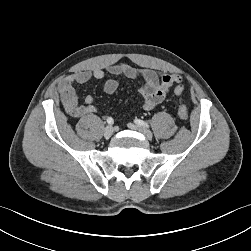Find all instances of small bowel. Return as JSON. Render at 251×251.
Wrapping results in <instances>:
<instances>
[{
    "label": "small bowel",
    "instance_id": "c3829d8e",
    "mask_svg": "<svg viewBox=\"0 0 251 251\" xmlns=\"http://www.w3.org/2000/svg\"><path fill=\"white\" fill-rule=\"evenodd\" d=\"M106 72L112 76L141 79L143 84L139 88V92L143 97V108L147 111L160 104L172 88L176 95H180L184 89L180 77L175 74L160 73L151 69H137L126 63L110 65L106 68ZM106 72L102 69L78 71L60 81L59 92L62 104L71 117L80 118L97 113L98 110L94 105L92 96H87L84 104L78 103L75 86L90 81L103 80L106 77ZM118 87V80L114 78L104 80L103 89L105 93L113 94Z\"/></svg>",
    "mask_w": 251,
    "mask_h": 251
}]
</instances>
